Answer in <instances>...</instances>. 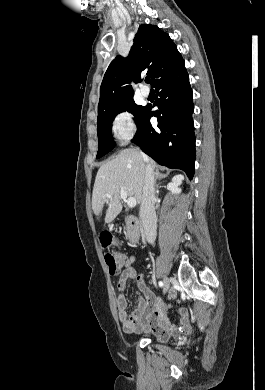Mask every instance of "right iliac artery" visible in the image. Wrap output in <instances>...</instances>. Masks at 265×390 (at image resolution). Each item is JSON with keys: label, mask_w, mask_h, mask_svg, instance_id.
<instances>
[{"label": "right iliac artery", "mask_w": 265, "mask_h": 390, "mask_svg": "<svg viewBox=\"0 0 265 390\" xmlns=\"http://www.w3.org/2000/svg\"><path fill=\"white\" fill-rule=\"evenodd\" d=\"M159 286H160V287L163 286V282H162V281L159 282Z\"/></svg>", "instance_id": "right-iliac-artery-1"}]
</instances>
